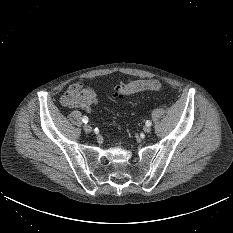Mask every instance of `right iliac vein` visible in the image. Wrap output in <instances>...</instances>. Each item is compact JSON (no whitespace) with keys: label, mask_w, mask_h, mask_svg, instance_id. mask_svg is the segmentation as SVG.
<instances>
[{"label":"right iliac vein","mask_w":233,"mask_h":233,"mask_svg":"<svg viewBox=\"0 0 233 233\" xmlns=\"http://www.w3.org/2000/svg\"><path fill=\"white\" fill-rule=\"evenodd\" d=\"M83 129L86 133H90L92 131V127L89 124H85Z\"/></svg>","instance_id":"right-iliac-vein-1"}]
</instances>
